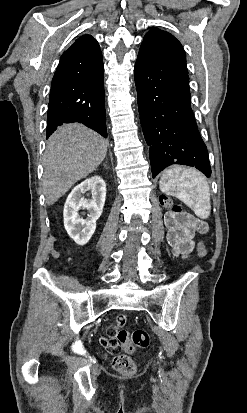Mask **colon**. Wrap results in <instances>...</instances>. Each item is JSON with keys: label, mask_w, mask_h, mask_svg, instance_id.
Segmentation results:
<instances>
[{"label": "colon", "mask_w": 247, "mask_h": 413, "mask_svg": "<svg viewBox=\"0 0 247 413\" xmlns=\"http://www.w3.org/2000/svg\"><path fill=\"white\" fill-rule=\"evenodd\" d=\"M161 203L167 206L168 210H174L176 216L183 214V207L170 197L164 196L161 198ZM195 249L200 256H205L208 253L207 247L202 241L195 243ZM116 340L123 346V353H120L119 357L112 358V365L116 371L123 374H133L136 371V363L130 357L134 351L133 346L146 347L150 343V336L147 331L144 330H130V332H120L116 335Z\"/></svg>", "instance_id": "obj_1"}]
</instances>
